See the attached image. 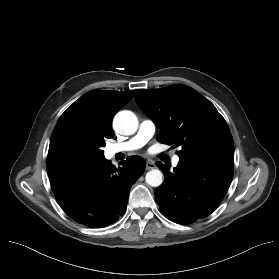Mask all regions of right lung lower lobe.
I'll return each instance as SVG.
<instances>
[{
    "label": "right lung lower lobe",
    "mask_w": 279,
    "mask_h": 279,
    "mask_svg": "<svg viewBox=\"0 0 279 279\" xmlns=\"http://www.w3.org/2000/svg\"><path fill=\"white\" fill-rule=\"evenodd\" d=\"M116 168L104 158L48 172L58 204L73 220L88 227H106L126 211L129 191L146 162L130 156Z\"/></svg>",
    "instance_id": "1"
}]
</instances>
